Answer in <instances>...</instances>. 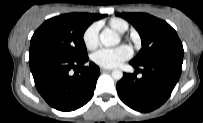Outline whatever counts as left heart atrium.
<instances>
[{
  "mask_svg": "<svg viewBox=\"0 0 203 123\" xmlns=\"http://www.w3.org/2000/svg\"><path fill=\"white\" fill-rule=\"evenodd\" d=\"M132 50L126 45L115 48H101L92 55L95 64L103 68H114L129 59Z\"/></svg>",
  "mask_w": 203,
  "mask_h": 123,
  "instance_id": "left-heart-atrium-1",
  "label": "left heart atrium"
}]
</instances>
